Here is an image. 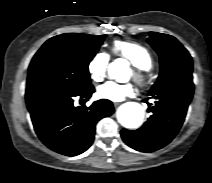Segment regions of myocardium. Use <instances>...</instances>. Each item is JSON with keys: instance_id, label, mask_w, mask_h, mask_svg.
Returning a JSON list of instances; mask_svg holds the SVG:
<instances>
[{"instance_id": "obj_1", "label": "myocardium", "mask_w": 212, "mask_h": 183, "mask_svg": "<svg viewBox=\"0 0 212 183\" xmlns=\"http://www.w3.org/2000/svg\"><path fill=\"white\" fill-rule=\"evenodd\" d=\"M148 69L140 68L138 66L133 67V77L139 83L143 84L146 80Z\"/></svg>"}]
</instances>
